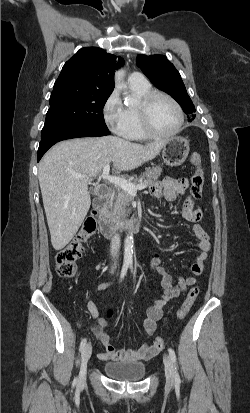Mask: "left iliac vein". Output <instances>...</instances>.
Returning a JSON list of instances; mask_svg holds the SVG:
<instances>
[{
  "instance_id": "4c4485c4",
  "label": "left iliac vein",
  "mask_w": 250,
  "mask_h": 413,
  "mask_svg": "<svg viewBox=\"0 0 250 413\" xmlns=\"http://www.w3.org/2000/svg\"><path fill=\"white\" fill-rule=\"evenodd\" d=\"M163 361H164V366H165L166 381H167V384L171 386L174 384V378H175L174 367H173V364H172V361L169 355L165 354Z\"/></svg>"
}]
</instances>
